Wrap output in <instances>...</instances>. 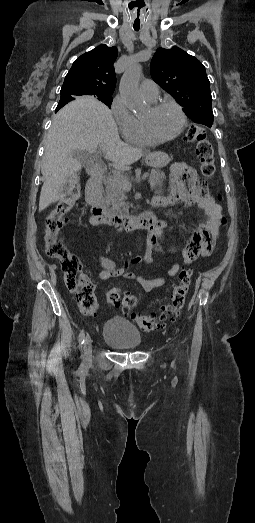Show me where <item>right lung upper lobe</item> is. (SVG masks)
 I'll use <instances>...</instances> for the list:
<instances>
[{"instance_id":"right-lung-upper-lobe-1","label":"right lung upper lobe","mask_w":255,"mask_h":523,"mask_svg":"<svg viewBox=\"0 0 255 523\" xmlns=\"http://www.w3.org/2000/svg\"><path fill=\"white\" fill-rule=\"evenodd\" d=\"M118 55L116 47L100 45L76 59L65 77L61 92L72 96H111L116 86L113 63ZM68 100H60L57 112Z\"/></svg>"}]
</instances>
